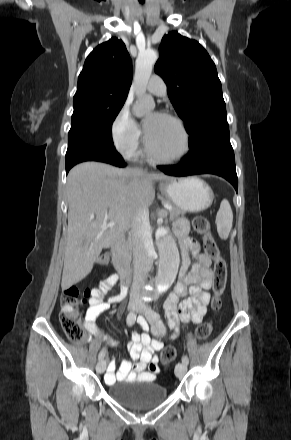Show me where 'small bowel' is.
Segmentation results:
<instances>
[{"instance_id": "1", "label": "small bowel", "mask_w": 291, "mask_h": 440, "mask_svg": "<svg viewBox=\"0 0 291 440\" xmlns=\"http://www.w3.org/2000/svg\"><path fill=\"white\" fill-rule=\"evenodd\" d=\"M173 234L181 245V266L179 280L164 304L166 316L173 326L177 325L179 319L199 324L210 302L208 290L212 285L211 259L201 252L199 243L189 236V226L185 220H179L174 225ZM192 260H194L193 263ZM117 281L116 276L108 277L92 294L89 308L82 322L90 335V340L100 334L96 320L114 303L122 300L127 293V285L121 283L116 294L104 299V292L113 288ZM183 297L185 298L181 300ZM139 322L146 327L143 318H139ZM109 342L116 344L113 340ZM162 348L161 341L152 340L146 333H132L127 343V351L135 363L132 365L129 360H123L117 366L115 362H111L105 375L106 383L113 384L129 379H153L160 372L156 352Z\"/></svg>"}]
</instances>
